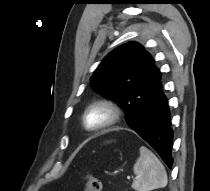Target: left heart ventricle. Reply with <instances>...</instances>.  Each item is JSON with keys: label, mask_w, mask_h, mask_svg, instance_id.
Instances as JSON below:
<instances>
[{"label": "left heart ventricle", "mask_w": 210, "mask_h": 191, "mask_svg": "<svg viewBox=\"0 0 210 191\" xmlns=\"http://www.w3.org/2000/svg\"><path fill=\"white\" fill-rule=\"evenodd\" d=\"M109 118V113L103 108L91 110L86 117V125L90 128L104 124Z\"/></svg>", "instance_id": "1"}]
</instances>
